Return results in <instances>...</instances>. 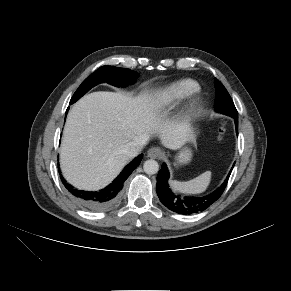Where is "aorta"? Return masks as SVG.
Here are the masks:
<instances>
[{
    "instance_id": "1",
    "label": "aorta",
    "mask_w": 291,
    "mask_h": 291,
    "mask_svg": "<svg viewBox=\"0 0 291 291\" xmlns=\"http://www.w3.org/2000/svg\"><path fill=\"white\" fill-rule=\"evenodd\" d=\"M143 169L147 174H156L159 170L158 162L153 159L146 160L144 162Z\"/></svg>"
}]
</instances>
